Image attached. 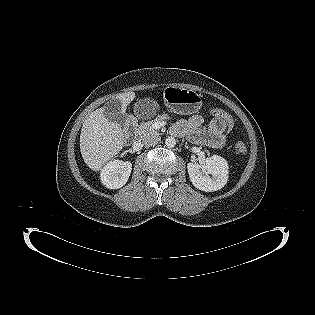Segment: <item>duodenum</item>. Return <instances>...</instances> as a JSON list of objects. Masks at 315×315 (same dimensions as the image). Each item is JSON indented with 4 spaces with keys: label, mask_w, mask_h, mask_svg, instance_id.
Returning <instances> with one entry per match:
<instances>
[{
    "label": "duodenum",
    "mask_w": 315,
    "mask_h": 315,
    "mask_svg": "<svg viewBox=\"0 0 315 315\" xmlns=\"http://www.w3.org/2000/svg\"><path fill=\"white\" fill-rule=\"evenodd\" d=\"M137 122L135 118L129 117L125 123V140L128 141L136 130Z\"/></svg>",
    "instance_id": "obj_1"
}]
</instances>
